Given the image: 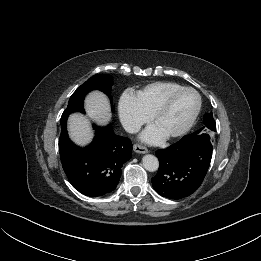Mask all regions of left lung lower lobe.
<instances>
[{
    "instance_id": "1",
    "label": "left lung lower lobe",
    "mask_w": 261,
    "mask_h": 261,
    "mask_svg": "<svg viewBox=\"0 0 261 261\" xmlns=\"http://www.w3.org/2000/svg\"><path fill=\"white\" fill-rule=\"evenodd\" d=\"M212 152V141L203 135H185L166 149L157 150L159 169L151 179L153 188L169 199L191 195L207 174Z\"/></svg>"
}]
</instances>
